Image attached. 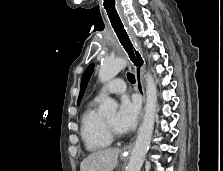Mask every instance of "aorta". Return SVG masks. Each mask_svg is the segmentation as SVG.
Here are the masks:
<instances>
[{"instance_id": "obj_1", "label": "aorta", "mask_w": 223, "mask_h": 171, "mask_svg": "<svg viewBox=\"0 0 223 171\" xmlns=\"http://www.w3.org/2000/svg\"><path fill=\"white\" fill-rule=\"evenodd\" d=\"M127 64L124 58L105 59L100 66L98 78L102 83L113 79ZM146 104L143 122L139 129L137 139L131 152L126 171H140L147 154L154 129L157 109V89L153 77L147 73L146 76ZM117 103L110 97H106L101 106L104 114H114Z\"/></svg>"}]
</instances>
